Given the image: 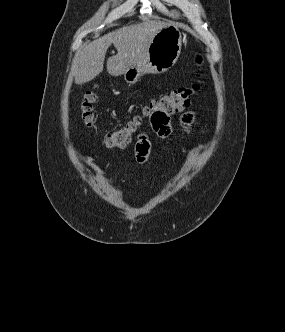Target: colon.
Segmentation results:
<instances>
[{"label":"colon","mask_w":285,"mask_h":332,"mask_svg":"<svg viewBox=\"0 0 285 332\" xmlns=\"http://www.w3.org/2000/svg\"><path fill=\"white\" fill-rule=\"evenodd\" d=\"M201 61V57H197V62L201 63ZM198 89L199 84L196 83L190 87L179 88L161 95L146 106L142 116L134 117L123 126L107 134L103 139L104 145L111 149L126 147L140 129L143 118H148L149 111H173L176 114L190 106L192 96ZM95 102L96 94L93 91H87L80 105L81 118L87 127L94 125Z\"/></svg>","instance_id":"5ec220e1"}]
</instances>
